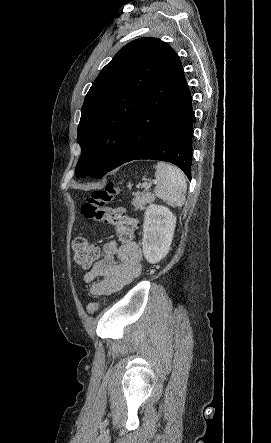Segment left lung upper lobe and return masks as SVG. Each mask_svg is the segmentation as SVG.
Instances as JSON below:
<instances>
[{
  "label": "left lung upper lobe",
  "mask_w": 271,
  "mask_h": 443,
  "mask_svg": "<svg viewBox=\"0 0 271 443\" xmlns=\"http://www.w3.org/2000/svg\"><path fill=\"white\" fill-rule=\"evenodd\" d=\"M175 54L167 43L143 37L125 45L102 69L81 109L77 177L99 179L109 172L135 112L144 106L151 84Z\"/></svg>",
  "instance_id": "1"
}]
</instances>
